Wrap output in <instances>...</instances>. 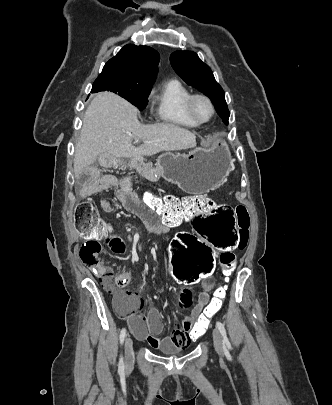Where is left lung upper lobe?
I'll return each mask as SVG.
<instances>
[{
    "label": "left lung upper lobe",
    "instance_id": "left-lung-upper-lobe-1",
    "mask_svg": "<svg viewBox=\"0 0 332 405\" xmlns=\"http://www.w3.org/2000/svg\"><path fill=\"white\" fill-rule=\"evenodd\" d=\"M170 62L175 72L189 85L208 96L214 104L217 113L225 124H228L230 112L225 94L216 82L210 67L202 62L193 51H176L170 56Z\"/></svg>",
    "mask_w": 332,
    "mask_h": 405
}]
</instances>
